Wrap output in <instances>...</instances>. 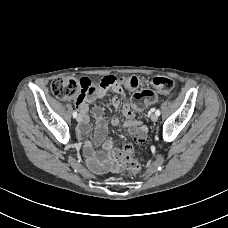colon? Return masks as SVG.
<instances>
[{
    "mask_svg": "<svg viewBox=\"0 0 228 228\" xmlns=\"http://www.w3.org/2000/svg\"><path fill=\"white\" fill-rule=\"evenodd\" d=\"M146 81L137 77L117 78L115 76H105L99 81H91L83 77L74 78H57L51 82L50 89L59 99L78 98L85 94H92L99 90H105L115 85H123L128 89H134L139 85L145 84ZM154 88L162 93L171 91L174 87V81L166 76H156L152 80ZM157 95L154 90L142 89L134 94L131 99V107L134 111H141L147 105L155 102ZM134 147L127 144L123 147L120 162L122 167L132 174L140 172V164L133 158Z\"/></svg>",
    "mask_w": 228,
    "mask_h": 228,
    "instance_id": "5ec220e1",
    "label": "colon"
}]
</instances>
